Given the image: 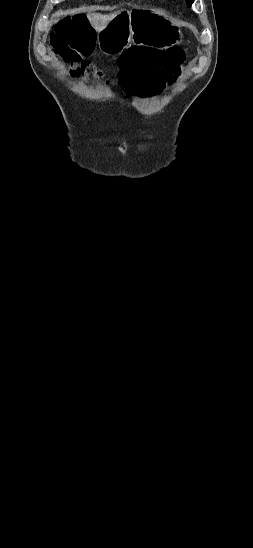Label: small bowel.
Returning <instances> with one entry per match:
<instances>
[{
    "label": "small bowel",
    "mask_w": 253,
    "mask_h": 548,
    "mask_svg": "<svg viewBox=\"0 0 253 548\" xmlns=\"http://www.w3.org/2000/svg\"><path fill=\"white\" fill-rule=\"evenodd\" d=\"M176 76H177V75H176ZM168 84H170V83H168ZM140 97H150V96H140Z\"/></svg>",
    "instance_id": "small-bowel-1"
}]
</instances>
